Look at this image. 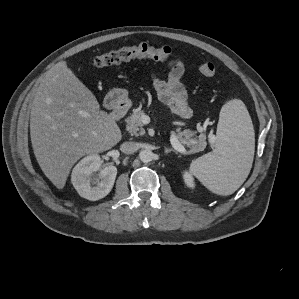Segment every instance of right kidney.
<instances>
[{
  "instance_id": "obj_1",
  "label": "right kidney",
  "mask_w": 299,
  "mask_h": 299,
  "mask_svg": "<svg viewBox=\"0 0 299 299\" xmlns=\"http://www.w3.org/2000/svg\"><path fill=\"white\" fill-rule=\"evenodd\" d=\"M102 167L98 154H90L73 168L71 182L78 194L91 201L99 200L111 191L117 175L113 165ZM100 171L99 173H97Z\"/></svg>"
}]
</instances>
